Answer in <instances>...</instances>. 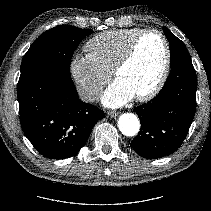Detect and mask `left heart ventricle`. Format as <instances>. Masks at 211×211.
<instances>
[{
  "label": "left heart ventricle",
  "instance_id": "left-heart-ventricle-1",
  "mask_svg": "<svg viewBox=\"0 0 211 211\" xmlns=\"http://www.w3.org/2000/svg\"><path fill=\"white\" fill-rule=\"evenodd\" d=\"M164 46L159 36L149 33L140 40L131 63L116 80L132 91L134 96L150 90L156 83L164 64Z\"/></svg>",
  "mask_w": 211,
  "mask_h": 211
}]
</instances>
